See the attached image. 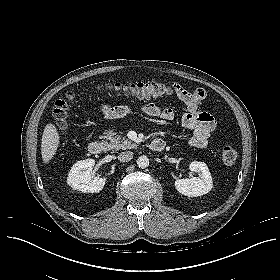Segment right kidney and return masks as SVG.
Returning a JSON list of instances; mask_svg holds the SVG:
<instances>
[{"label":"right kidney","mask_w":280,"mask_h":280,"mask_svg":"<svg viewBox=\"0 0 280 280\" xmlns=\"http://www.w3.org/2000/svg\"><path fill=\"white\" fill-rule=\"evenodd\" d=\"M94 165V159H85L76 162L68 174L67 184L74 190L84 193L100 192L106 183V178L93 176L92 169Z\"/></svg>","instance_id":"obj_1"}]
</instances>
